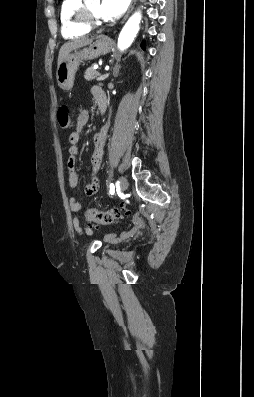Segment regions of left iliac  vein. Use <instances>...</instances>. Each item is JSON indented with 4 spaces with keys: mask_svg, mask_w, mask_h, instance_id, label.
<instances>
[{
    "mask_svg": "<svg viewBox=\"0 0 254 397\" xmlns=\"http://www.w3.org/2000/svg\"><path fill=\"white\" fill-rule=\"evenodd\" d=\"M120 188L122 191H125L128 188V181L124 176L120 177Z\"/></svg>",
    "mask_w": 254,
    "mask_h": 397,
    "instance_id": "4c4485c4",
    "label": "left iliac vein"
}]
</instances>
